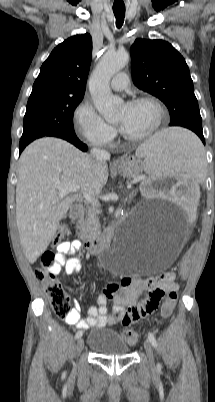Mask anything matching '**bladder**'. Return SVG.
I'll return each mask as SVG.
<instances>
[{"label":"bladder","mask_w":215,"mask_h":402,"mask_svg":"<svg viewBox=\"0 0 215 402\" xmlns=\"http://www.w3.org/2000/svg\"><path fill=\"white\" fill-rule=\"evenodd\" d=\"M89 349L102 356H124L129 353V344L115 330L110 328L93 329L87 339Z\"/></svg>","instance_id":"bladder-1"}]
</instances>
